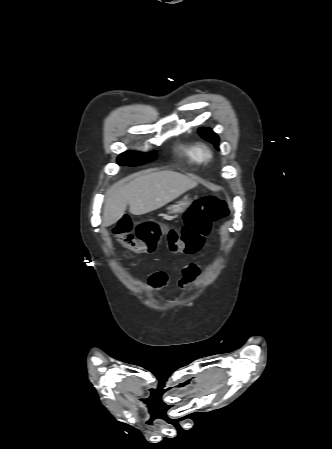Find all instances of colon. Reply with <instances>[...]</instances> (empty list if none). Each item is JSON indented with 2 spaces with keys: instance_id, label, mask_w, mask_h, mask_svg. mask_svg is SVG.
Returning a JSON list of instances; mask_svg holds the SVG:
<instances>
[{
  "instance_id": "1",
  "label": "colon",
  "mask_w": 332,
  "mask_h": 449,
  "mask_svg": "<svg viewBox=\"0 0 332 449\" xmlns=\"http://www.w3.org/2000/svg\"><path fill=\"white\" fill-rule=\"evenodd\" d=\"M228 214L227 205L215 195L195 201L184 215L180 229H161L151 223H141L134 229L129 220H120L113 228L114 236L134 253H152L156 250L161 233H166L169 250L178 255H193L202 247L211 223Z\"/></svg>"
}]
</instances>
